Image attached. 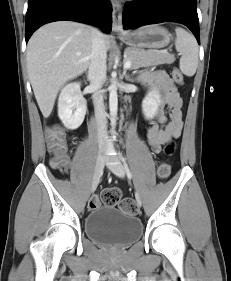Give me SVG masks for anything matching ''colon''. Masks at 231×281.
I'll list each match as a JSON object with an SVG mask.
<instances>
[{"label":"colon","mask_w":231,"mask_h":281,"mask_svg":"<svg viewBox=\"0 0 231 281\" xmlns=\"http://www.w3.org/2000/svg\"><path fill=\"white\" fill-rule=\"evenodd\" d=\"M172 78L175 83L183 84V75L178 69H174L172 72ZM46 141L49 151L52 154L51 165L55 168H63L68 163V147L66 142L65 131L58 125H53L46 130ZM174 151V144L169 143L166 145L164 152L167 155H171ZM171 172V166L167 162H162L158 167V175L162 179L169 177ZM101 204L116 206L130 215H136L138 213V207L134 200L131 198L122 199L121 192L116 188H110L105 190L101 197H93L89 202L91 209L97 208Z\"/></svg>","instance_id":"colon-1"}]
</instances>
